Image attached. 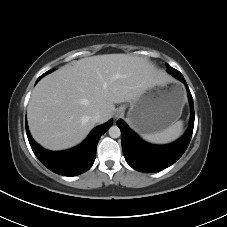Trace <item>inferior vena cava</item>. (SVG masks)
Masks as SVG:
<instances>
[{
	"instance_id": "1",
	"label": "inferior vena cava",
	"mask_w": 227,
	"mask_h": 227,
	"mask_svg": "<svg viewBox=\"0 0 227 227\" xmlns=\"http://www.w3.org/2000/svg\"><path fill=\"white\" fill-rule=\"evenodd\" d=\"M101 118H102V114H101V112H99V111H96V112L93 113V115L91 116L92 121H94L95 123L100 122Z\"/></svg>"
}]
</instances>
